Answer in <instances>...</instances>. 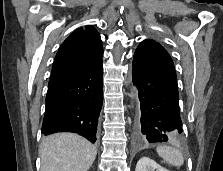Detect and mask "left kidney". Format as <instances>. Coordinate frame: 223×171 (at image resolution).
Segmentation results:
<instances>
[{
  "label": "left kidney",
  "mask_w": 223,
  "mask_h": 171,
  "mask_svg": "<svg viewBox=\"0 0 223 171\" xmlns=\"http://www.w3.org/2000/svg\"><path fill=\"white\" fill-rule=\"evenodd\" d=\"M169 171L159 164H157L154 160L148 157H142L136 165L135 171Z\"/></svg>",
  "instance_id": "1"
}]
</instances>
